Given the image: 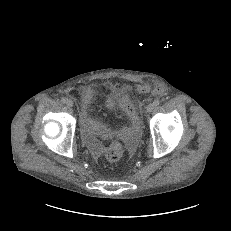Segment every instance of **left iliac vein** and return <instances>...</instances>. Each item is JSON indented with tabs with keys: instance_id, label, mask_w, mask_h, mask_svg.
I'll return each instance as SVG.
<instances>
[{
	"instance_id": "1",
	"label": "left iliac vein",
	"mask_w": 231,
	"mask_h": 231,
	"mask_svg": "<svg viewBox=\"0 0 231 231\" xmlns=\"http://www.w3.org/2000/svg\"><path fill=\"white\" fill-rule=\"evenodd\" d=\"M154 107H155V105H154L153 103H149V104L147 105V107H146V111H147L148 113H150V112L153 111Z\"/></svg>"
}]
</instances>
